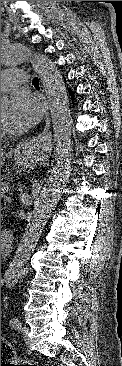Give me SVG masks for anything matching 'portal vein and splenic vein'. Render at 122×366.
I'll list each match as a JSON object with an SVG mask.
<instances>
[{
    "mask_svg": "<svg viewBox=\"0 0 122 366\" xmlns=\"http://www.w3.org/2000/svg\"><path fill=\"white\" fill-rule=\"evenodd\" d=\"M5 200L8 201V202L11 201V197L8 196V197L5 198Z\"/></svg>",
    "mask_w": 122,
    "mask_h": 366,
    "instance_id": "18ae733b",
    "label": "portal vein and splenic vein"
}]
</instances>
